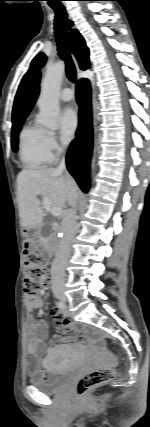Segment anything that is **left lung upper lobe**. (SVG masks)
<instances>
[{
  "instance_id": "left-lung-upper-lobe-1",
  "label": "left lung upper lobe",
  "mask_w": 150,
  "mask_h": 427,
  "mask_svg": "<svg viewBox=\"0 0 150 427\" xmlns=\"http://www.w3.org/2000/svg\"><path fill=\"white\" fill-rule=\"evenodd\" d=\"M46 62V56L44 53H39L32 61L31 66L40 68L42 67Z\"/></svg>"
}]
</instances>
